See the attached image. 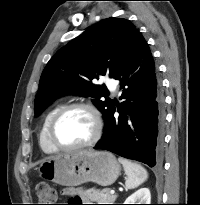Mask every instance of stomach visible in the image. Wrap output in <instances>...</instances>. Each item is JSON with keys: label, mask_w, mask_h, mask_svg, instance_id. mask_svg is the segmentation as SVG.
<instances>
[{"label": "stomach", "mask_w": 200, "mask_h": 205, "mask_svg": "<svg viewBox=\"0 0 200 205\" xmlns=\"http://www.w3.org/2000/svg\"><path fill=\"white\" fill-rule=\"evenodd\" d=\"M121 167L115 156L107 151L80 150L44 160L40 174L56 184L74 187L85 182L101 186L113 184Z\"/></svg>", "instance_id": "stomach-1"}]
</instances>
